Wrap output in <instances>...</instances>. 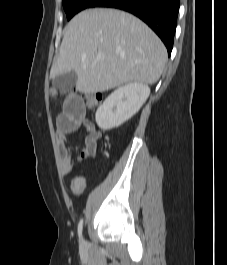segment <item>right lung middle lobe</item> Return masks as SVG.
<instances>
[{"instance_id":"1","label":"right lung middle lobe","mask_w":227,"mask_h":265,"mask_svg":"<svg viewBox=\"0 0 227 265\" xmlns=\"http://www.w3.org/2000/svg\"><path fill=\"white\" fill-rule=\"evenodd\" d=\"M93 0H62L67 19H71L76 13L87 8Z\"/></svg>"}]
</instances>
